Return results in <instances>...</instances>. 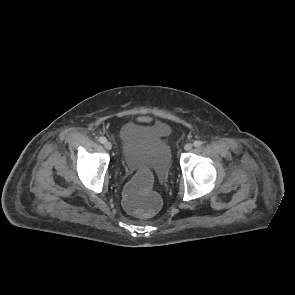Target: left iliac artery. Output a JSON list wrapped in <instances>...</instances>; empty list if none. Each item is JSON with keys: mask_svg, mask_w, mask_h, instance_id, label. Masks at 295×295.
<instances>
[{"mask_svg": "<svg viewBox=\"0 0 295 295\" xmlns=\"http://www.w3.org/2000/svg\"><path fill=\"white\" fill-rule=\"evenodd\" d=\"M193 145H194L195 147H200V146L202 145V142L196 140V141H194Z\"/></svg>", "mask_w": 295, "mask_h": 295, "instance_id": "44dca946", "label": "left iliac artery"}]
</instances>
